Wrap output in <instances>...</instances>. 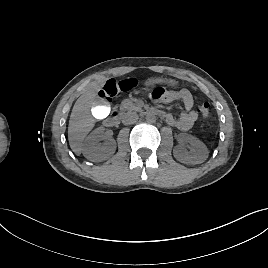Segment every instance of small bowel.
<instances>
[{
	"mask_svg": "<svg viewBox=\"0 0 268 268\" xmlns=\"http://www.w3.org/2000/svg\"><path fill=\"white\" fill-rule=\"evenodd\" d=\"M150 98L155 103H171L179 100L184 112L179 118H175L172 114H164L166 122L182 131H187L192 128L198 118V113L193 109L194 100L192 94L187 89H180L178 91H164L162 88H156L151 94Z\"/></svg>",
	"mask_w": 268,
	"mask_h": 268,
	"instance_id": "1",
	"label": "small bowel"
}]
</instances>
